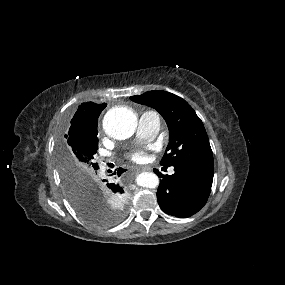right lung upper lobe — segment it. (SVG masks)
Here are the masks:
<instances>
[{"mask_svg": "<svg viewBox=\"0 0 285 285\" xmlns=\"http://www.w3.org/2000/svg\"><path fill=\"white\" fill-rule=\"evenodd\" d=\"M105 107V103L93 102L82 103L78 107L64 136L68 146L97 138V119Z\"/></svg>", "mask_w": 285, "mask_h": 285, "instance_id": "1", "label": "right lung upper lobe"}]
</instances>
